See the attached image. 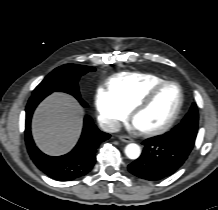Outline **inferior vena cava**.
Masks as SVG:
<instances>
[{
    "instance_id": "1",
    "label": "inferior vena cava",
    "mask_w": 218,
    "mask_h": 210,
    "mask_svg": "<svg viewBox=\"0 0 218 210\" xmlns=\"http://www.w3.org/2000/svg\"><path fill=\"white\" fill-rule=\"evenodd\" d=\"M99 125L103 131L108 133L118 132L121 128L120 122L116 120L102 119L99 121Z\"/></svg>"
}]
</instances>
